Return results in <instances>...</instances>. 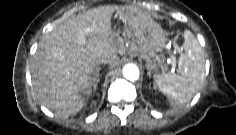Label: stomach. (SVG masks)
Instances as JSON below:
<instances>
[{"label": "stomach", "instance_id": "obj_1", "mask_svg": "<svg viewBox=\"0 0 236 135\" xmlns=\"http://www.w3.org/2000/svg\"><path fill=\"white\" fill-rule=\"evenodd\" d=\"M117 15L128 24L131 17L136 16V11L133 8L121 6L117 10ZM124 34H127V39L136 45V52L147 62L148 69L152 70L155 76L159 75L161 70H166V68H162L159 60L166 46L167 38L159 25L152 23L138 35L126 27L123 36ZM119 40L121 44L126 43L125 37L123 39L119 38Z\"/></svg>", "mask_w": 236, "mask_h": 135}]
</instances>
